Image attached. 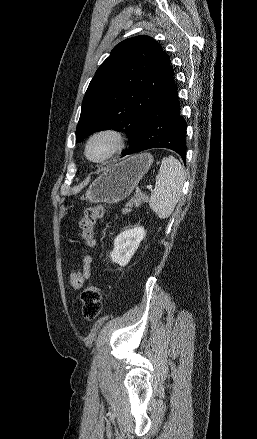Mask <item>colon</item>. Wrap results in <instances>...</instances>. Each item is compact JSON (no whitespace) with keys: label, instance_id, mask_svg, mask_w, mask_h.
<instances>
[{"label":"colon","instance_id":"1","mask_svg":"<svg viewBox=\"0 0 257 439\" xmlns=\"http://www.w3.org/2000/svg\"><path fill=\"white\" fill-rule=\"evenodd\" d=\"M104 213V205L97 204L87 208L80 221L82 237L88 246L94 244V228ZM69 281L73 288H80L83 285L82 270L73 271ZM81 301L82 315L86 320H94L99 316L102 310V291L98 286L91 285L85 288L81 294Z\"/></svg>","mask_w":257,"mask_h":439}]
</instances>
